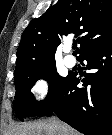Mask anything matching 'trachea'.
<instances>
[{"label":"trachea","mask_w":112,"mask_h":135,"mask_svg":"<svg viewBox=\"0 0 112 135\" xmlns=\"http://www.w3.org/2000/svg\"><path fill=\"white\" fill-rule=\"evenodd\" d=\"M72 48H73L74 50H76V49H77V45H76V44H73Z\"/></svg>","instance_id":"obj_1"}]
</instances>
